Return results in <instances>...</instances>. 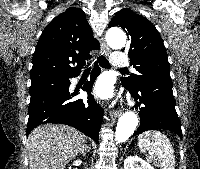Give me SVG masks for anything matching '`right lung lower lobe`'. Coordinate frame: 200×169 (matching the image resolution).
Segmentation results:
<instances>
[{
	"mask_svg": "<svg viewBox=\"0 0 200 169\" xmlns=\"http://www.w3.org/2000/svg\"><path fill=\"white\" fill-rule=\"evenodd\" d=\"M80 71L67 77L31 85L27 135L40 124L59 123L70 125L98 142L103 110L90 92L96 77L100 74V68L95 63L90 81L83 87L89 93L86 102L82 99L72 101L73 95L69 93V78L78 76Z\"/></svg>",
	"mask_w": 200,
	"mask_h": 169,
	"instance_id": "98d812e1",
	"label": "right lung lower lobe"
}]
</instances>
